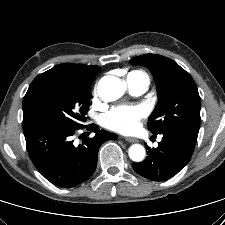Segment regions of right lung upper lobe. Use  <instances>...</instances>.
<instances>
[{
    "mask_svg": "<svg viewBox=\"0 0 225 225\" xmlns=\"http://www.w3.org/2000/svg\"><path fill=\"white\" fill-rule=\"evenodd\" d=\"M56 68H67V69H71L74 71H78L87 75H94L96 76V74L99 72V67L98 66H88V65H84V64H71V63H64V64H60L55 66Z\"/></svg>",
    "mask_w": 225,
    "mask_h": 225,
    "instance_id": "cb5924a9",
    "label": "right lung upper lobe"
}]
</instances>
